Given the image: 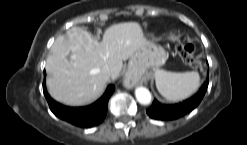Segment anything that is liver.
<instances>
[{
    "label": "liver",
    "instance_id": "liver-1",
    "mask_svg": "<svg viewBox=\"0 0 247 145\" xmlns=\"http://www.w3.org/2000/svg\"><path fill=\"white\" fill-rule=\"evenodd\" d=\"M150 42L136 22L110 26L98 42L87 31L73 27L58 36L46 60V80L52 98L70 106L97 100L111 77L118 78L123 61ZM108 67L110 76L102 73Z\"/></svg>",
    "mask_w": 247,
    "mask_h": 145
}]
</instances>
